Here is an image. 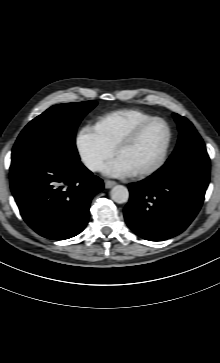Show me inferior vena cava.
Wrapping results in <instances>:
<instances>
[{"instance_id":"602c4592","label":"inferior vena cava","mask_w":220,"mask_h":363,"mask_svg":"<svg viewBox=\"0 0 220 363\" xmlns=\"http://www.w3.org/2000/svg\"><path fill=\"white\" fill-rule=\"evenodd\" d=\"M99 166H100V163L99 162H91L89 165H88V168L92 171H96L99 169Z\"/></svg>"}]
</instances>
